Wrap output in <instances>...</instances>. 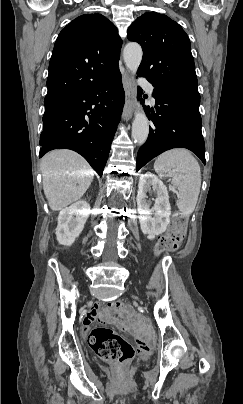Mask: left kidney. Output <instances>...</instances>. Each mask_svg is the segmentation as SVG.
<instances>
[{"label": "left kidney", "mask_w": 243, "mask_h": 404, "mask_svg": "<svg viewBox=\"0 0 243 404\" xmlns=\"http://www.w3.org/2000/svg\"><path fill=\"white\" fill-rule=\"evenodd\" d=\"M149 190L157 194L153 208L146 200ZM136 202L141 232L148 234V240H154L155 236L166 232L171 216L169 196L166 186L151 172L140 174Z\"/></svg>", "instance_id": "1"}]
</instances>
